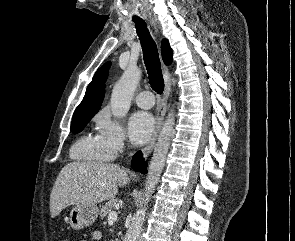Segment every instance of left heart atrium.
Segmentation results:
<instances>
[{
  "label": "left heart atrium",
  "mask_w": 295,
  "mask_h": 241,
  "mask_svg": "<svg viewBox=\"0 0 295 241\" xmlns=\"http://www.w3.org/2000/svg\"><path fill=\"white\" fill-rule=\"evenodd\" d=\"M154 128V117L147 112H136L129 120L130 138L139 145L146 143L150 139Z\"/></svg>",
  "instance_id": "obj_1"
}]
</instances>
